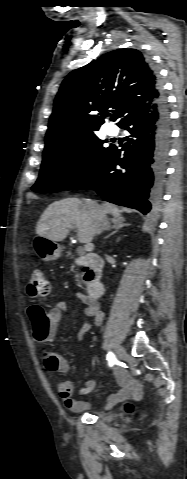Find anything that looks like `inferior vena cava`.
<instances>
[{
    "label": "inferior vena cava",
    "mask_w": 187,
    "mask_h": 479,
    "mask_svg": "<svg viewBox=\"0 0 187 479\" xmlns=\"http://www.w3.org/2000/svg\"><path fill=\"white\" fill-rule=\"evenodd\" d=\"M94 219L95 234H101L108 228V219L105 211L95 201H88Z\"/></svg>",
    "instance_id": "1"
}]
</instances>
